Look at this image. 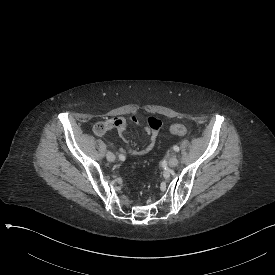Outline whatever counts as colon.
Masks as SVG:
<instances>
[{
    "label": "colon",
    "mask_w": 275,
    "mask_h": 275,
    "mask_svg": "<svg viewBox=\"0 0 275 275\" xmlns=\"http://www.w3.org/2000/svg\"><path fill=\"white\" fill-rule=\"evenodd\" d=\"M92 131L95 135L97 136H102L106 133L107 131V126L104 122L102 121H97L93 124L92 126ZM169 131L170 133L177 135V136H184L187 134V128L182 125V124H171L169 126Z\"/></svg>",
    "instance_id": "obj_1"
}]
</instances>
